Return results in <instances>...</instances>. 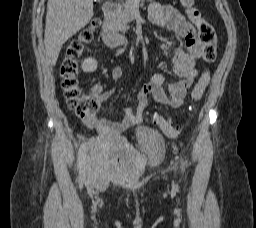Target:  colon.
Masks as SVG:
<instances>
[{"mask_svg":"<svg viewBox=\"0 0 256 228\" xmlns=\"http://www.w3.org/2000/svg\"><path fill=\"white\" fill-rule=\"evenodd\" d=\"M181 5L188 13L191 21L198 29L199 39L202 43V58L205 62H213L217 53V35L213 26L202 18L199 10L195 7V0H180ZM99 21L93 20L84 28L79 35L67 46L65 56L60 65L62 89L69 108L80 118H93L100 108V99L95 94L83 93L78 80V58L82 55L85 47L94 38L95 29ZM210 82V73L202 74L191 93L192 102H198ZM152 121L166 135L176 137L180 129L163 116L155 114Z\"/></svg>","mask_w":256,"mask_h":228,"instance_id":"1","label":"colon"}]
</instances>
